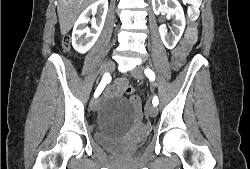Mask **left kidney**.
Instances as JSON below:
<instances>
[{
    "mask_svg": "<svg viewBox=\"0 0 250 169\" xmlns=\"http://www.w3.org/2000/svg\"><path fill=\"white\" fill-rule=\"evenodd\" d=\"M152 6L155 14H160L161 10H165L170 18H173L174 26H176L173 34H168L166 24L159 26V32L165 46L174 48L181 38L186 24L184 10L180 2L178 0H152Z\"/></svg>",
    "mask_w": 250,
    "mask_h": 169,
    "instance_id": "1",
    "label": "left kidney"
}]
</instances>
